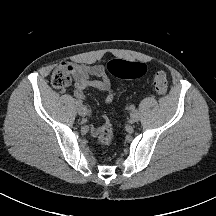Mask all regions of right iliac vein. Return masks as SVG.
<instances>
[{"instance_id":"63e3f726","label":"right iliac vein","mask_w":216,"mask_h":216,"mask_svg":"<svg viewBox=\"0 0 216 216\" xmlns=\"http://www.w3.org/2000/svg\"><path fill=\"white\" fill-rule=\"evenodd\" d=\"M87 112H88V110H87V108L85 106H79L78 107V114L80 116H86Z\"/></svg>"}]
</instances>
